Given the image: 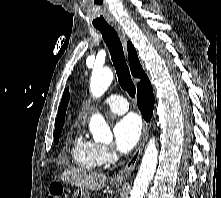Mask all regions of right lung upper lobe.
I'll list each match as a JSON object with an SVG mask.
<instances>
[{
	"instance_id": "cb5924a9",
	"label": "right lung upper lobe",
	"mask_w": 221,
	"mask_h": 198,
	"mask_svg": "<svg viewBox=\"0 0 221 198\" xmlns=\"http://www.w3.org/2000/svg\"><path fill=\"white\" fill-rule=\"evenodd\" d=\"M127 49H128V58H129V65H130L131 73L133 74L134 77L141 78V81H140L141 83L142 81L148 78L145 75V72L143 71L140 65L137 52L130 42H127ZM68 101H69V90L66 89L64 91V94L62 96V100L59 106L58 115L56 119V125H55V132L62 130V127L64 125L65 113H66Z\"/></svg>"
}]
</instances>
